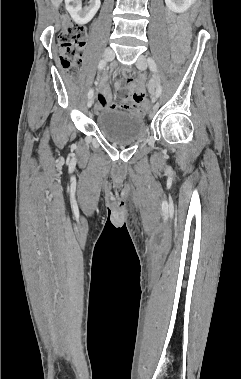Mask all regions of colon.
Returning <instances> with one entry per match:
<instances>
[{
  "instance_id": "colon-1",
  "label": "colon",
  "mask_w": 241,
  "mask_h": 379,
  "mask_svg": "<svg viewBox=\"0 0 241 379\" xmlns=\"http://www.w3.org/2000/svg\"><path fill=\"white\" fill-rule=\"evenodd\" d=\"M197 9L191 8L187 15L188 24H193L197 17ZM64 16V12L61 11ZM86 27L84 25L67 22L58 37V62L71 77H76L78 74V65L81 60V54L85 47ZM181 65L176 61H171L169 68L166 69V74L171 82L175 81L177 73L180 71ZM124 95V93H120ZM144 105H151V98L143 99Z\"/></svg>"
}]
</instances>
